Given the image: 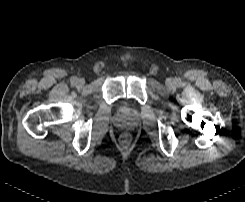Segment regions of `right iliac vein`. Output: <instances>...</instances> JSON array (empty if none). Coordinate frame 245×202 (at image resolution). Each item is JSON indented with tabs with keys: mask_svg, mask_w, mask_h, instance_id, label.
<instances>
[{
	"mask_svg": "<svg viewBox=\"0 0 245 202\" xmlns=\"http://www.w3.org/2000/svg\"><path fill=\"white\" fill-rule=\"evenodd\" d=\"M76 86H82L84 85V80L83 79H77V81L75 82Z\"/></svg>",
	"mask_w": 245,
	"mask_h": 202,
	"instance_id": "63e3f726",
	"label": "right iliac vein"
}]
</instances>
